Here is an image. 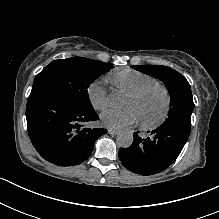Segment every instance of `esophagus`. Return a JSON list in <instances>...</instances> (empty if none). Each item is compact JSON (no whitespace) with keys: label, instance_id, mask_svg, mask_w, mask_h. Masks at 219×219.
Here are the masks:
<instances>
[{"label":"esophagus","instance_id":"34e87169","mask_svg":"<svg viewBox=\"0 0 219 219\" xmlns=\"http://www.w3.org/2000/svg\"><path fill=\"white\" fill-rule=\"evenodd\" d=\"M108 133L111 134V135H117V134H119V131L118 130H114V129H109Z\"/></svg>","mask_w":219,"mask_h":219}]
</instances>
